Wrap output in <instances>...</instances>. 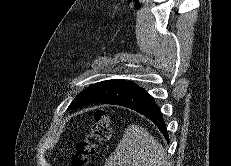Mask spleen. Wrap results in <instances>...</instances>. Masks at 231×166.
I'll list each match as a JSON object with an SVG mask.
<instances>
[{
    "label": "spleen",
    "mask_w": 231,
    "mask_h": 166,
    "mask_svg": "<svg viewBox=\"0 0 231 166\" xmlns=\"http://www.w3.org/2000/svg\"><path fill=\"white\" fill-rule=\"evenodd\" d=\"M105 166H168L162 145L138 125H129Z\"/></svg>",
    "instance_id": "spleen-1"
}]
</instances>
